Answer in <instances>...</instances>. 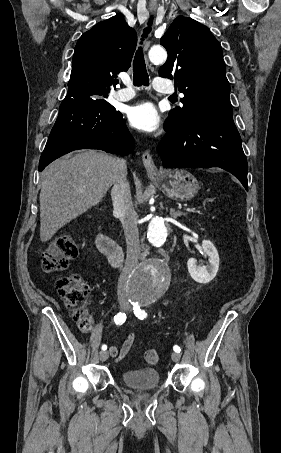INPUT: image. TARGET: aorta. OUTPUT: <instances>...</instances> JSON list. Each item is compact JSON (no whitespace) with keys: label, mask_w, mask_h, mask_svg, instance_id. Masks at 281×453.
<instances>
[{"label":"aorta","mask_w":281,"mask_h":453,"mask_svg":"<svg viewBox=\"0 0 281 453\" xmlns=\"http://www.w3.org/2000/svg\"><path fill=\"white\" fill-rule=\"evenodd\" d=\"M148 55L154 64H162L167 59V52L162 47H152ZM168 236L164 220L157 216L151 217L147 230L150 243L161 246ZM170 279V269L162 260L148 259L132 271L128 281L129 292L136 301L151 303L166 292Z\"/></svg>","instance_id":"1"}]
</instances>
